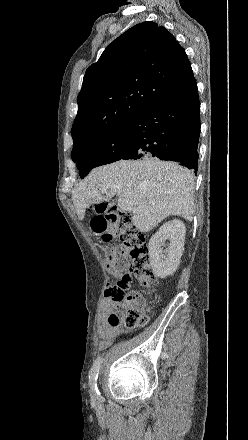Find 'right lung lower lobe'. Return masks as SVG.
<instances>
[{"label":"right lung lower lobe","mask_w":248,"mask_h":440,"mask_svg":"<svg viewBox=\"0 0 248 440\" xmlns=\"http://www.w3.org/2000/svg\"><path fill=\"white\" fill-rule=\"evenodd\" d=\"M199 112L197 84L152 102L128 122L130 141L120 159L157 157L197 171Z\"/></svg>","instance_id":"right-lung-lower-lobe-1"}]
</instances>
